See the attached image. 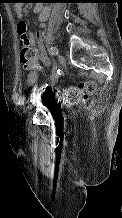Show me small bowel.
I'll use <instances>...</instances> for the list:
<instances>
[{"mask_svg":"<svg viewBox=\"0 0 122 218\" xmlns=\"http://www.w3.org/2000/svg\"><path fill=\"white\" fill-rule=\"evenodd\" d=\"M34 10H35V12H37L39 14V22H40L41 26H43L44 22L48 19L49 15H50V7H48V6L43 7L42 5H36ZM17 13H18V17L21 18L22 17V10L20 7H17ZM35 42H37L40 45V48L36 49V53H37L36 66L39 65V60H41V62L44 65H48L49 60L43 54V52L41 50V45L43 44V35L41 32H38L36 34L35 39L31 38V45L33 48H35Z\"/></svg>","mask_w":122,"mask_h":218,"instance_id":"1","label":"small bowel"}]
</instances>
